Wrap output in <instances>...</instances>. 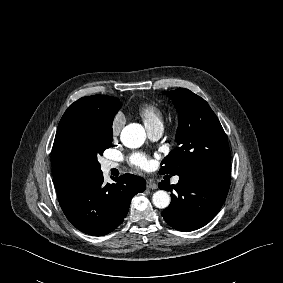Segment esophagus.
Returning a JSON list of instances; mask_svg holds the SVG:
<instances>
[{
    "label": "esophagus",
    "mask_w": 283,
    "mask_h": 283,
    "mask_svg": "<svg viewBox=\"0 0 283 283\" xmlns=\"http://www.w3.org/2000/svg\"><path fill=\"white\" fill-rule=\"evenodd\" d=\"M146 187L147 189H157V184L152 180H148L146 183Z\"/></svg>",
    "instance_id": "obj_1"
}]
</instances>
